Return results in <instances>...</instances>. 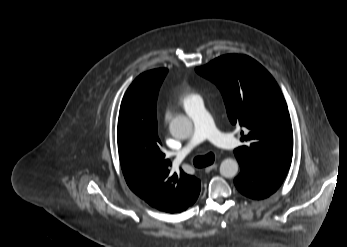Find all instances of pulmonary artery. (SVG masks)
Returning <instances> with one entry per match:
<instances>
[{
	"mask_svg": "<svg viewBox=\"0 0 347 247\" xmlns=\"http://www.w3.org/2000/svg\"><path fill=\"white\" fill-rule=\"evenodd\" d=\"M187 114L193 121L194 132L187 144L178 152V158H184L195 146L209 140L222 148H233L237 141L230 135L221 133L207 112L201 97L197 96L185 105Z\"/></svg>",
	"mask_w": 347,
	"mask_h": 247,
	"instance_id": "pulmonary-artery-1",
	"label": "pulmonary artery"
}]
</instances>
